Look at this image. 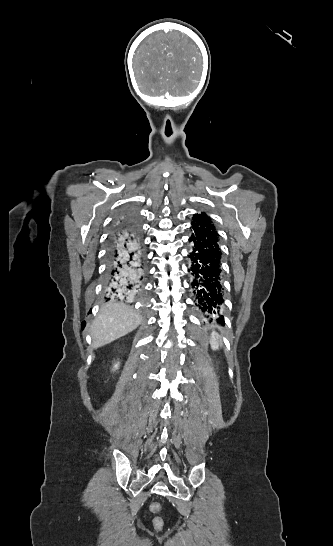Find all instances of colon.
<instances>
[{
	"label": "colon",
	"instance_id": "colon-1",
	"mask_svg": "<svg viewBox=\"0 0 333 546\" xmlns=\"http://www.w3.org/2000/svg\"><path fill=\"white\" fill-rule=\"evenodd\" d=\"M161 509H162V507L158 502H153L150 505L151 512L156 514V516L153 519V526L157 530H161L163 528V526H164L163 519L158 515L160 513Z\"/></svg>",
	"mask_w": 333,
	"mask_h": 546
}]
</instances>
